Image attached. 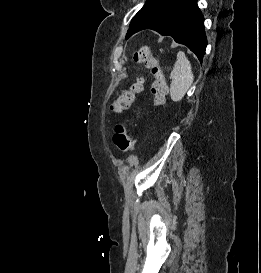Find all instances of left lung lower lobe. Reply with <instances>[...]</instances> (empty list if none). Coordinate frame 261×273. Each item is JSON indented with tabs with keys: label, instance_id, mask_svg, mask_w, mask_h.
<instances>
[{
	"label": "left lung lower lobe",
	"instance_id": "obj_1",
	"mask_svg": "<svg viewBox=\"0 0 261 273\" xmlns=\"http://www.w3.org/2000/svg\"><path fill=\"white\" fill-rule=\"evenodd\" d=\"M196 2L197 0H166L139 17L130 26L126 39L140 30L152 29L187 46L202 62L207 39L204 18Z\"/></svg>",
	"mask_w": 261,
	"mask_h": 273
}]
</instances>
